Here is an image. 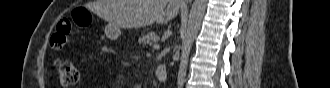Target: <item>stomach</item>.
Returning a JSON list of instances; mask_svg holds the SVG:
<instances>
[{
  "label": "stomach",
  "instance_id": "0dacf381",
  "mask_svg": "<svg viewBox=\"0 0 330 88\" xmlns=\"http://www.w3.org/2000/svg\"><path fill=\"white\" fill-rule=\"evenodd\" d=\"M117 26H115V25H109L108 26V35H109V37H112L113 36V30H114V28H116Z\"/></svg>",
  "mask_w": 330,
  "mask_h": 88
}]
</instances>
